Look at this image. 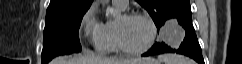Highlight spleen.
<instances>
[{
  "label": "spleen",
  "mask_w": 242,
  "mask_h": 64,
  "mask_svg": "<svg viewBox=\"0 0 242 64\" xmlns=\"http://www.w3.org/2000/svg\"><path fill=\"white\" fill-rule=\"evenodd\" d=\"M159 63L164 64H192L190 60L181 55L176 54H164L158 57Z\"/></svg>",
  "instance_id": "3e777b00"
}]
</instances>
